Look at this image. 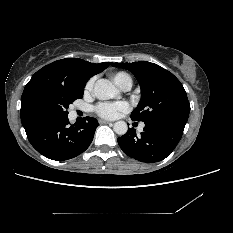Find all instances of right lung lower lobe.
<instances>
[{
  "label": "right lung lower lobe",
  "instance_id": "98d812e1",
  "mask_svg": "<svg viewBox=\"0 0 233 233\" xmlns=\"http://www.w3.org/2000/svg\"><path fill=\"white\" fill-rule=\"evenodd\" d=\"M96 118L86 117L71 125L68 118L47 121L26 133L31 145L43 156L57 161L72 159L91 144L96 128Z\"/></svg>",
  "mask_w": 233,
  "mask_h": 233
}]
</instances>
